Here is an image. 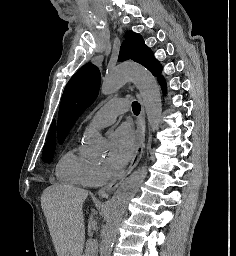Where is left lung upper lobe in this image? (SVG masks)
Listing matches in <instances>:
<instances>
[{
	"mask_svg": "<svg viewBox=\"0 0 236 256\" xmlns=\"http://www.w3.org/2000/svg\"><path fill=\"white\" fill-rule=\"evenodd\" d=\"M120 48L119 61L131 59L146 67L158 79L161 78V65L151 50L144 44L143 38L127 31ZM100 71L91 64L82 66L66 85L58 116V141L62 144L71 127L79 116L90 106L98 95Z\"/></svg>",
	"mask_w": 236,
	"mask_h": 256,
	"instance_id": "obj_1",
	"label": "left lung upper lobe"
}]
</instances>
